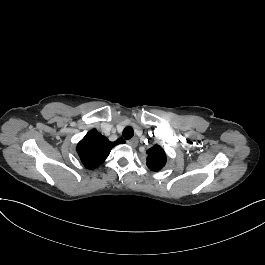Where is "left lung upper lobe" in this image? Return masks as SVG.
I'll return each mask as SVG.
<instances>
[{
	"mask_svg": "<svg viewBox=\"0 0 265 265\" xmlns=\"http://www.w3.org/2000/svg\"><path fill=\"white\" fill-rule=\"evenodd\" d=\"M147 153L146 164L150 170L158 171L164 167L166 163V154L159 145H155L153 148L149 149Z\"/></svg>",
	"mask_w": 265,
	"mask_h": 265,
	"instance_id": "left-lung-upper-lobe-1",
	"label": "left lung upper lobe"
}]
</instances>
